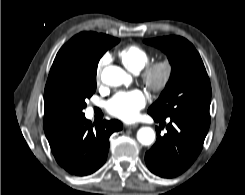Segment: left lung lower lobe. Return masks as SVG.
I'll use <instances>...</instances> for the list:
<instances>
[{
	"label": "left lung lower lobe",
	"mask_w": 245,
	"mask_h": 195,
	"mask_svg": "<svg viewBox=\"0 0 245 195\" xmlns=\"http://www.w3.org/2000/svg\"><path fill=\"white\" fill-rule=\"evenodd\" d=\"M156 122L165 124L166 118L150 114ZM167 133L160 136L146 152L145 162L149 170L164 178H172L186 171L203 148L210 121L180 116H170Z\"/></svg>",
	"instance_id": "left-lung-lower-lobe-1"
}]
</instances>
